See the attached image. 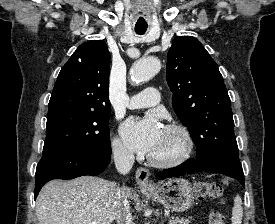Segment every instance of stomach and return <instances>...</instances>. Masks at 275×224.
<instances>
[{
    "instance_id": "obj_1",
    "label": "stomach",
    "mask_w": 275,
    "mask_h": 224,
    "mask_svg": "<svg viewBox=\"0 0 275 224\" xmlns=\"http://www.w3.org/2000/svg\"><path fill=\"white\" fill-rule=\"evenodd\" d=\"M143 192L174 212H184L194 202L192 184L183 178L170 179L153 189H144Z\"/></svg>"
}]
</instances>
